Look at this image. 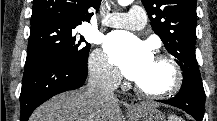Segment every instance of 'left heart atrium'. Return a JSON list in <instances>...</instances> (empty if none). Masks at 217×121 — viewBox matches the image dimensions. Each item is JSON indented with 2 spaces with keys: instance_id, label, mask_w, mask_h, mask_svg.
Here are the masks:
<instances>
[{
  "instance_id": "left-heart-atrium-1",
  "label": "left heart atrium",
  "mask_w": 217,
  "mask_h": 121,
  "mask_svg": "<svg viewBox=\"0 0 217 121\" xmlns=\"http://www.w3.org/2000/svg\"><path fill=\"white\" fill-rule=\"evenodd\" d=\"M104 49L121 73L134 81L142 76L153 60L146 43L123 31H114L107 35Z\"/></svg>"
}]
</instances>
